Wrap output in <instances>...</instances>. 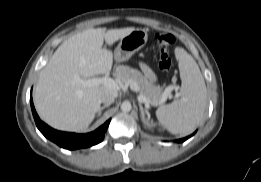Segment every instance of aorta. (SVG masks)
I'll use <instances>...</instances> for the list:
<instances>
[{"label":"aorta","mask_w":261,"mask_h":182,"mask_svg":"<svg viewBox=\"0 0 261 182\" xmlns=\"http://www.w3.org/2000/svg\"><path fill=\"white\" fill-rule=\"evenodd\" d=\"M132 109L131 103L129 101H124L121 104V110L123 112H129Z\"/></svg>","instance_id":"obj_1"}]
</instances>
